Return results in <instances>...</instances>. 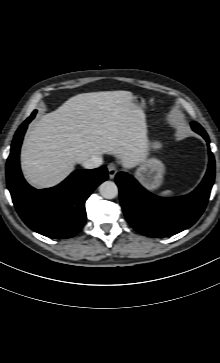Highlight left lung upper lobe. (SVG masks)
<instances>
[{
    "label": "left lung upper lobe",
    "mask_w": 220,
    "mask_h": 363,
    "mask_svg": "<svg viewBox=\"0 0 220 363\" xmlns=\"http://www.w3.org/2000/svg\"><path fill=\"white\" fill-rule=\"evenodd\" d=\"M191 126L192 129L197 133L205 132L204 129L198 123H191Z\"/></svg>",
    "instance_id": "obj_1"
}]
</instances>
